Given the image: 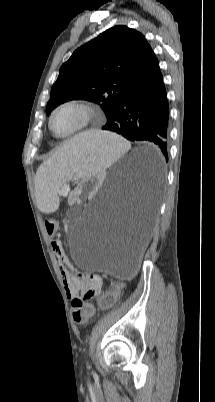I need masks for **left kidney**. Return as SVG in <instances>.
Here are the masks:
<instances>
[{
    "instance_id": "5707ae66",
    "label": "left kidney",
    "mask_w": 215,
    "mask_h": 402,
    "mask_svg": "<svg viewBox=\"0 0 215 402\" xmlns=\"http://www.w3.org/2000/svg\"><path fill=\"white\" fill-rule=\"evenodd\" d=\"M106 172L104 169H97L95 175H86L83 184H76L74 190L71 192L70 197L72 203H77V200H89L90 193H95L100 181L104 179Z\"/></svg>"
}]
</instances>
